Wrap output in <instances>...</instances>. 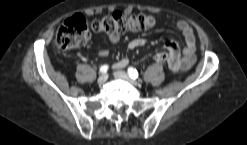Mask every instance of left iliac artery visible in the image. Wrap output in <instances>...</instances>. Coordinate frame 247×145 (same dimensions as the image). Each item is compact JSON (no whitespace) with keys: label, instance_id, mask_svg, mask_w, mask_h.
Masks as SVG:
<instances>
[{"label":"left iliac artery","instance_id":"left-iliac-artery-1","mask_svg":"<svg viewBox=\"0 0 247 145\" xmlns=\"http://www.w3.org/2000/svg\"><path fill=\"white\" fill-rule=\"evenodd\" d=\"M128 74H129V76L132 78V79H136V78H138V72H137V70L135 69V68H133V67H129L128 68Z\"/></svg>","mask_w":247,"mask_h":145}]
</instances>
